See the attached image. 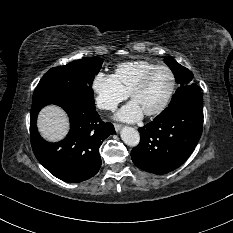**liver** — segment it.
I'll use <instances>...</instances> for the list:
<instances>
[{
	"label": "liver",
	"instance_id": "liver-1",
	"mask_svg": "<svg viewBox=\"0 0 233 233\" xmlns=\"http://www.w3.org/2000/svg\"><path fill=\"white\" fill-rule=\"evenodd\" d=\"M37 125L42 137L52 142L63 139L69 130V120L66 113L55 105L47 106L41 110Z\"/></svg>",
	"mask_w": 233,
	"mask_h": 233
}]
</instances>
